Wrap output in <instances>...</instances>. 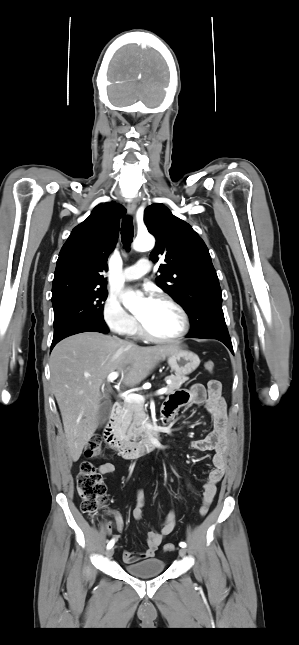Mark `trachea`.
Returning a JSON list of instances; mask_svg holds the SVG:
<instances>
[{
    "instance_id": "1",
    "label": "trachea",
    "mask_w": 299,
    "mask_h": 645,
    "mask_svg": "<svg viewBox=\"0 0 299 645\" xmlns=\"http://www.w3.org/2000/svg\"><path fill=\"white\" fill-rule=\"evenodd\" d=\"M134 236V229L131 217H125L121 224L122 243L126 249L130 248Z\"/></svg>"
}]
</instances>
